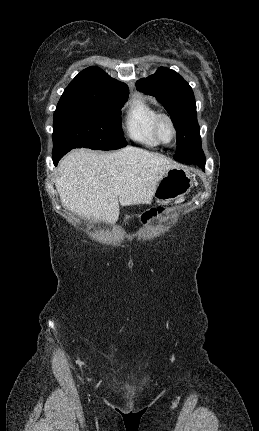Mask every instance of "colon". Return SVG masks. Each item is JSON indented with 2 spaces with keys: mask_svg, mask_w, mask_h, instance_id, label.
<instances>
[{
  "mask_svg": "<svg viewBox=\"0 0 259 431\" xmlns=\"http://www.w3.org/2000/svg\"><path fill=\"white\" fill-rule=\"evenodd\" d=\"M164 211L163 207H156V208H152L149 211L145 212L142 215L141 221L142 223H147L148 221H150L152 218L156 217L157 215L161 214Z\"/></svg>",
  "mask_w": 259,
  "mask_h": 431,
  "instance_id": "obj_1",
  "label": "colon"
}]
</instances>
